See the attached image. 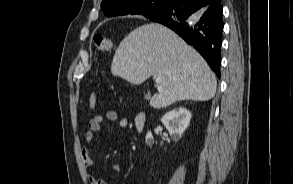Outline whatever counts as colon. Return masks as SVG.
<instances>
[{"instance_id":"5ec220e1","label":"colon","mask_w":293,"mask_h":184,"mask_svg":"<svg viewBox=\"0 0 293 184\" xmlns=\"http://www.w3.org/2000/svg\"><path fill=\"white\" fill-rule=\"evenodd\" d=\"M93 45L96 53L112 51L114 48V42L112 39L102 36L95 35L93 38ZM97 102V95L95 92H92L89 98L90 108H94Z\"/></svg>"}]
</instances>
